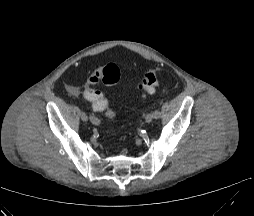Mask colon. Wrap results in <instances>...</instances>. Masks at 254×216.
Masks as SVG:
<instances>
[{"label":"colon","instance_id":"colon-1","mask_svg":"<svg viewBox=\"0 0 254 216\" xmlns=\"http://www.w3.org/2000/svg\"><path fill=\"white\" fill-rule=\"evenodd\" d=\"M120 79V70L114 64H108L105 67L96 69L90 74L86 80V88L84 96L87 100L91 101L93 106L106 109L108 101L104 94L95 88L98 83H103L107 86H112L118 83ZM158 86V71L155 68L148 69L142 77L138 85V89L143 93L152 94ZM115 113L112 110L106 112L107 117H113Z\"/></svg>","mask_w":254,"mask_h":216}]
</instances>
